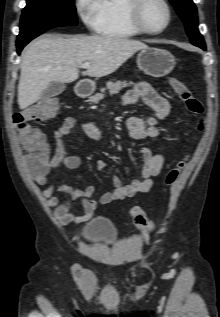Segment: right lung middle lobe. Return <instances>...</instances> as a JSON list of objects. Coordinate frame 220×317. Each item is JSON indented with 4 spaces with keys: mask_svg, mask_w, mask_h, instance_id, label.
<instances>
[{
    "mask_svg": "<svg viewBox=\"0 0 220 317\" xmlns=\"http://www.w3.org/2000/svg\"><path fill=\"white\" fill-rule=\"evenodd\" d=\"M77 25L74 0H27L17 42L54 27Z\"/></svg>",
    "mask_w": 220,
    "mask_h": 317,
    "instance_id": "right-lung-middle-lobe-1",
    "label": "right lung middle lobe"
}]
</instances>
